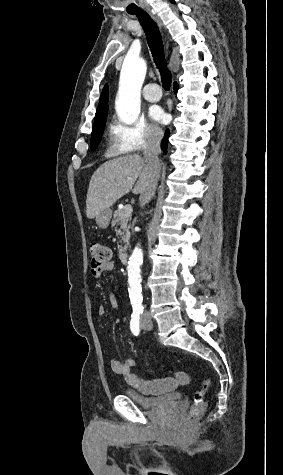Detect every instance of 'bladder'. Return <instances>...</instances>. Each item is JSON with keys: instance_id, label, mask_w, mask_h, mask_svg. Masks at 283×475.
<instances>
[{"instance_id": "31cf9c89", "label": "bladder", "mask_w": 283, "mask_h": 475, "mask_svg": "<svg viewBox=\"0 0 283 475\" xmlns=\"http://www.w3.org/2000/svg\"><path fill=\"white\" fill-rule=\"evenodd\" d=\"M124 393L134 404H138L146 410L159 409L164 405L178 406L181 400V395L175 392H168L160 397H146L138 391L128 388L124 390Z\"/></svg>"}]
</instances>
